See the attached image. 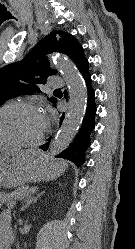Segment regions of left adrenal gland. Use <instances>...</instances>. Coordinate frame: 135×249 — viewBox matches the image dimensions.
I'll return each instance as SVG.
<instances>
[{"mask_svg":"<svg viewBox=\"0 0 135 249\" xmlns=\"http://www.w3.org/2000/svg\"><path fill=\"white\" fill-rule=\"evenodd\" d=\"M45 192H41L39 194H37V196H33V194H30V196H28L25 200V203L23 205V207L21 208V211H24L27 207H29L32 203H35L38 198H40L41 195H43Z\"/></svg>","mask_w":135,"mask_h":249,"instance_id":"1","label":"left adrenal gland"}]
</instances>
